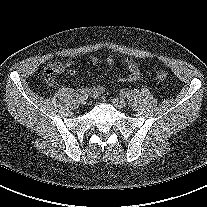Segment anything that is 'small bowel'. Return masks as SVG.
I'll return each mask as SVG.
<instances>
[{"instance_id": "c3829d8e", "label": "small bowel", "mask_w": 207, "mask_h": 207, "mask_svg": "<svg viewBox=\"0 0 207 207\" xmlns=\"http://www.w3.org/2000/svg\"><path fill=\"white\" fill-rule=\"evenodd\" d=\"M89 61L92 64L98 63V59L94 56L90 57ZM106 62L108 65H113L114 59L112 57H108ZM58 64L61 69L60 73H62L64 69H67V71L70 75L74 76L76 74V70L72 68V63L69 62L66 64H61L58 62ZM123 64L126 67L128 73L125 77L120 78V81L121 82L137 81L141 76V72H140V69H139V66L137 65V63L133 59L127 58L124 60ZM87 90H88L89 94L93 97H97V96L101 95L104 91L103 87L98 84H92Z\"/></svg>"}]
</instances>
